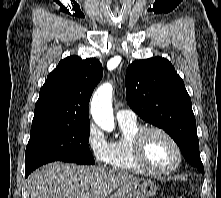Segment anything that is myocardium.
Instances as JSON below:
<instances>
[{"mask_svg":"<svg viewBox=\"0 0 221 198\" xmlns=\"http://www.w3.org/2000/svg\"><path fill=\"white\" fill-rule=\"evenodd\" d=\"M153 132L159 133L163 135L164 137H166L175 148L177 160H176V163L172 167L167 168V169H159V168L153 167L147 161L146 155H145V141H146L147 136ZM133 150H134V156H135L137 163L146 172L154 174V175H168V174L175 172L180 167L182 163V159H183V153L177 140L167 130L159 126L142 127L136 133L134 137Z\"/></svg>","mask_w":221,"mask_h":198,"instance_id":"1","label":"myocardium"}]
</instances>
